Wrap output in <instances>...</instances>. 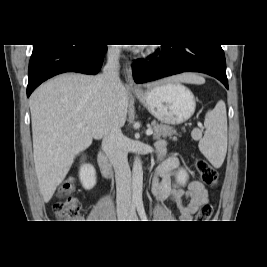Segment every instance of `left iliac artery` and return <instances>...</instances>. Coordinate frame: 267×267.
Wrapping results in <instances>:
<instances>
[{"mask_svg":"<svg viewBox=\"0 0 267 267\" xmlns=\"http://www.w3.org/2000/svg\"><path fill=\"white\" fill-rule=\"evenodd\" d=\"M137 210H138V214H139L141 220L142 221H147V216H146V213H145L144 206H143L142 202H139L137 204Z\"/></svg>","mask_w":267,"mask_h":267,"instance_id":"1","label":"left iliac artery"}]
</instances>
